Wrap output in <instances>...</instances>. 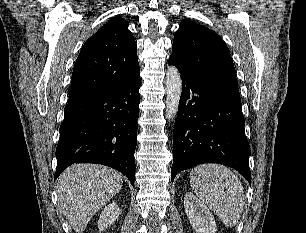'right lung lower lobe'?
Returning a JSON list of instances; mask_svg holds the SVG:
<instances>
[{
  "label": "right lung lower lobe",
  "mask_w": 306,
  "mask_h": 233,
  "mask_svg": "<svg viewBox=\"0 0 306 233\" xmlns=\"http://www.w3.org/2000/svg\"><path fill=\"white\" fill-rule=\"evenodd\" d=\"M140 70L119 87L65 106L54 180L73 163L112 167L134 185Z\"/></svg>",
  "instance_id": "right-lung-lower-lobe-1"
}]
</instances>
